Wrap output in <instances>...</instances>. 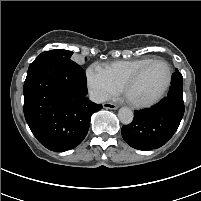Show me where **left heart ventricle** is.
Instances as JSON below:
<instances>
[{
    "label": "left heart ventricle",
    "instance_id": "obj_1",
    "mask_svg": "<svg viewBox=\"0 0 201 201\" xmlns=\"http://www.w3.org/2000/svg\"><path fill=\"white\" fill-rule=\"evenodd\" d=\"M168 70L164 63L151 64L129 88L128 96L137 101H147L155 97L164 87Z\"/></svg>",
    "mask_w": 201,
    "mask_h": 201
}]
</instances>
